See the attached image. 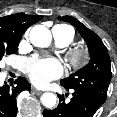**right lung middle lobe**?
Returning a JSON list of instances; mask_svg holds the SVG:
<instances>
[{
    "mask_svg": "<svg viewBox=\"0 0 117 117\" xmlns=\"http://www.w3.org/2000/svg\"><path fill=\"white\" fill-rule=\"evenodd\" d=\"M19 41H0V60L9 54H14ZM1 70V69H0Z\"/></svg>",
    "mask_w": 117,
    "mask_h": 117,
    "instance_id": "1",
    "label": "right lung middle lobe"
}]
</instances>
